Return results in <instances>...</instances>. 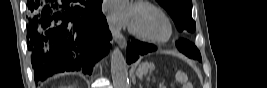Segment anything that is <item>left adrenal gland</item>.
<instances>
[{"instance_id":"left-adrenal-gland-1","label":"left adrenal gland","mask_w":267,"mask_h":88,"mask_svg":"<svg viewBox=\"0 0 267 88\" xmlns=\"http://www.w3.org/2000/svg\"><path fill=\"white\" fill-rule=\"evenodd\" d=\"M139 88H142L141 84H139Z\"/></svg>"}]
</instances>
